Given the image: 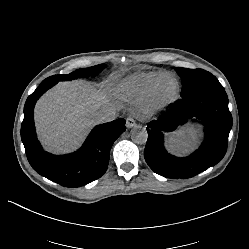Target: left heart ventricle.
<instances>
[{
	"label": "left heart ventricle",
	"mask_w": 249,
	"mask_h": 249,
	"mask_svg": "<svg viewBox=\"0 0 249 249\" xmlns=\"http://www.w3.org/2000/svg\"><path fill=\"white\" fill-rule=\"evenodd\" d=\"M174 90H175V81L170 80L161 86V88L159 90V94L162 97H167V96L172 95Z\"/></svg>",
	"instance_id": "b2bd125f"
}]
</instances>
